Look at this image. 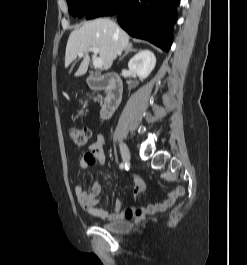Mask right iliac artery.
<instances>
[{
    "label": "right iliac artery",
    "instance_id": "obj_1",
    "mask_svg": "<svg viewBox=\"0 0 247 265\" xmlns=\"http://www.w3.org/2000/svg\"><path fill=\"white\" fill-rule=\"evenodd\" d=\"M120 168H121V169L124 168V164H123V163L120 164Z\"/></svg>",
    "mask_w": 247,
    "mask_h": 265
}]
</instances>
